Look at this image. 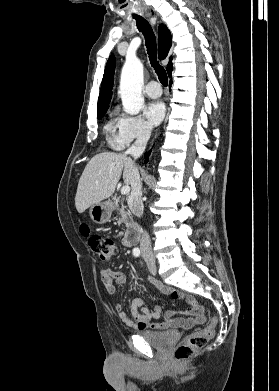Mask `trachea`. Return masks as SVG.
I'll list each match as a JSON object with an SVG mask.
<instances>
[{
  "instance_id": "1",
  "label": "trachea",
  "mask_w": 279,
  "mask_h": 391,
  "mask_svg": "<svg viewBox=\"0 0 279 391\" xmlns=\"http://www.w3.org/2000/svg\"><path fill=\"white\" fill-rule=\"evenodd\" d=\"M137 22V27L140 32L143 33L146 42V48L149 55V60L151 66L154 68L155 72L158 75L159 81L163 86L168 85V77L165 69L157 61V44L156 37L148 21L144 18H135Z\"/></svg>"
}]
</instances>
